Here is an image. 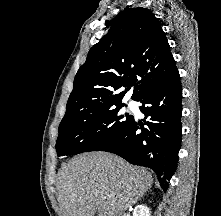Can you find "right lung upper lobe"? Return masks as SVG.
<instances>
[{
  "mask_svg": "<svg viewBox=\"0 0 221 216\" xmlns=\"http://www.w3.org/2000/svg\"><path fill=\"white\" fill-rule=\"evenodd\" d=\"M110 25L79 68L62 120L122 104L128 88H120L133 85L140 77L132 95L138 101L177 70L161 24L148 9H126Z\"/></svg>",
  "mask_w": 221,
  "mask_h": 216,
  "instance_id": "right-lung-upper-lobe-1",
  "label": "right lung upper lobe"
}]
</instances>
